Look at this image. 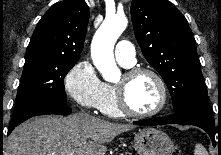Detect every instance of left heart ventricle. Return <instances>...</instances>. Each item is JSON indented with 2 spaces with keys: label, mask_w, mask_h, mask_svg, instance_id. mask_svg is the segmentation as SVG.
<instances>
[{
  "label": "left heart ventricle",
  "mask_w": 221,
  "mask_h": 155,
  "mask_svg": "<svg viewBox=\"0 0 221 155\" xmlns=\"http://www.w3.org/2000/svg\"><path fill=\"white\" fill-rule=\"evenodd\" d=\"M123 76L117 84L122 83ZM127 97L131 107L138 112H150L158 107L161 92L156 80L149 74H141L127 85Z\"/></svg>",
  "instance_id": "1"
}]
</instances>
